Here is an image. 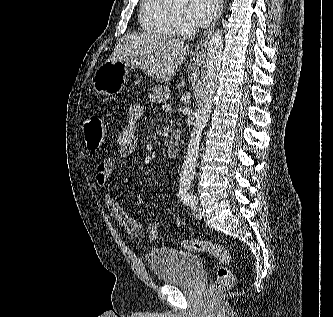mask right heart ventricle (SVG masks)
<instances>
[{"label":"right heart ventricle","instance_id":"1","mask_svg":"<svg viewBox=\"0 0 333 317\" xmlns=\"http://www.w3.org/2000/svg\"><path fill=\"white\" fill-rule=\"evenodd\" d=\"M138 18L141 28L151 35L171 39L179 34L177 19L165 0H141Z\"/></svg>","mask_w":333,"mask_h":317}]
</instances>
